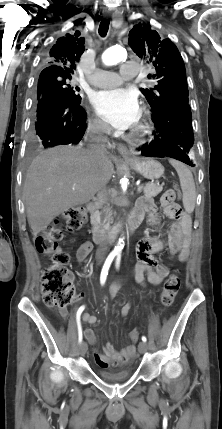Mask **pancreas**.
Segmentation results:
<instances>
[{
	"mask_svg": "<svg viewBox=\"0 0 222 429\" xmlns=\"http://www.w3.org/2000/svg\"><path fill=\"white\" fill-rule=\"evenodd\" d=\"M163 189L162 185H157V184H152V183H147L144 187H143V193L144 196L146 197H155L157 196ZM105 216H104V220L102 221V223L100 224V226L103 229H107L109 228L110 222H111V211L109 209H105L104 210Z\"/></svg>",
	"mask_w": 222,
	"mask_h": 429,
	"instance_id": "cf45deb5",
	"label": "pancreas"
}]
</instances>
